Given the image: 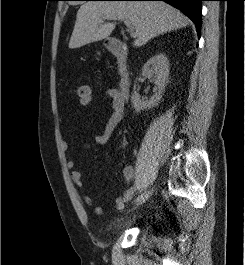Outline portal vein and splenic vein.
Wrapping results in <instances>:
<instances>
[{"instance_id":"18ae733b","label":"portal vein and splenic vein","mask_w":245,"mask_h":265,"mask_svg":"<svg viewBox=\"0 0 245 265\" xmlns=\"http://www.w3.org/2000/svg\"><path fill=\"white\" fill-rule=\"evenodd\" d=\"M104 19H107V20H120V21H123L125 26L127 27V30L129 31L130 33V36L133 37V38H136V32L134 30V26L132 24V22L129 20V19H126L122 16H106L104 17Z\"/></svg>"}]
</instances>
